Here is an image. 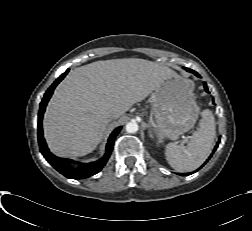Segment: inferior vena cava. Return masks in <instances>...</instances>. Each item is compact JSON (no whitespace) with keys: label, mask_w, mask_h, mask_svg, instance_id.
<instances>
[{"label":"inferior vena cava","mask_w":252,"mask_h":231,"mask_svg":"<svg viewBox=\"0 0 252 231\" xmlns=\"http://www.w3.org/2000/svg\"><path fill=\"white\" fill-rule=\"evenodd\" d=\"M114 118H115V114H110V115H109V119H110V120H113Z\"/></svg>","instance_id":"obj_1"}]
</instances>
